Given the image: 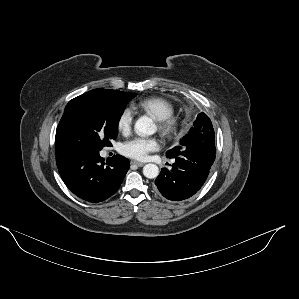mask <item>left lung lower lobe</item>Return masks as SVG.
I'll use <instances>...</instances> for the list:
<instances>
[{
  "mask_svg": "<svg viewBox=\"0 0 299 299\" xmlns=\"http://www.w3.org/2000/svg\"><path fill=\"white\" fill-rule=\"evenodd\" d=\"M172 169L162 168L155 180V190L171 201H182L193 196L206 181L210 164L199 155L173 157Z\"/></svg>",
  "mask_w": 299,
  "mask_h": 299,
  "instance_id": "0a47b994",
  "label": "left lung lower lobe"
}]
</instances>
